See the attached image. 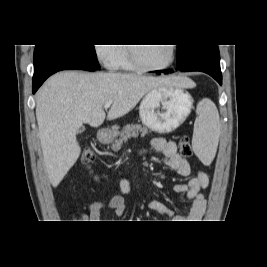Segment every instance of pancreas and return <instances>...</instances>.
Segmentation results:
<instances>
[{"label": "pancreas", "mask_w": 267, "mask_h": 267, "mask_svg": "<svg viewBox=\"0 0 267 267\" xmlns=\"http://www.w3.org/2000/svg\"><path fill=\"white\" fill-rule=\"evenodd\" d=\"M139 132H141L144 136L147 134L148 130L147 128L142 127L139 124L126 125L120 132V138L118 140H115L112 144V149L114 151L120 150L123 142H126L131 137H137L139 135Z\"/></svg>", "instance_id": "pancreas-1"}]
</instances>
